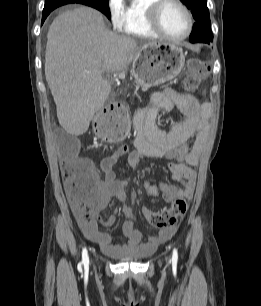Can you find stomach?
I'll return each instance as SVG.
<instances>
[{
    "label": "stomach",
    "instance_id": "0dacf381",
    "mask_svg": "<svg viewBox=\"0 0 261 306\" xmlns=\"http://www.w3.org/2000/svg\"><path fill=\"white\" fill-rule=\"evenodd\" d=\"M185 64L182 48L171 43H158L143 49L133 61L134 74L139 87L148 88L174 79ZM96 118L94 119V123ZM130 124L129 116L126 120ZM99 134L98 127H94Z\"/></svg>",
    "mask_w": 261,
    "mask_h": 306
}]
</instances>
